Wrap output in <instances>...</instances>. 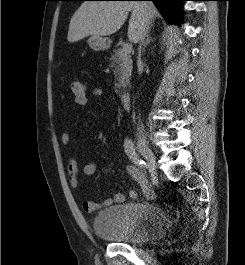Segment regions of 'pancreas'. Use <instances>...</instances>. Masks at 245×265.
I'll return each mask as SVG.
<instances>
[{
	"mask_svg": "<svg viewBox=\"0 0 245 265\" xmlns=\"http://www.w3.org/2000/svg\"><path fill=\"white\" fill-rule=\"evenodd\" d=\"M110 67L114 68L115 75V91L120 93L130 83L132 72V59L130 54H125L123 49L114 50V54L110 58Z\"/></svg>",
	"mask_w": 245,
	"mask_h": 265,
	"instance_id": "pancreas-1",
	"label": "pancreas"
}]
</instances>
